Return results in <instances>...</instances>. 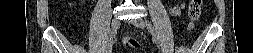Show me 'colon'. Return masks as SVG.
Returning <instances> with one entry per match:
<instances>
[{"mask_svg": "<svg viewBox=\"0 0 253 53\" xmlns=\"http://www.w3.org/2000/svg\"><path fill=\"white\" fill-rule=\"evenodd\" d=\"M202 12V0H191L188 8L190 26L200 17ZM126 45L133 48H140L141 44L136 39L128 38Z\"/></svg>", "mask_w": 253, "mask_h": 53, "instance_id": "colon-1", "label": "colon"}]
</instances>
